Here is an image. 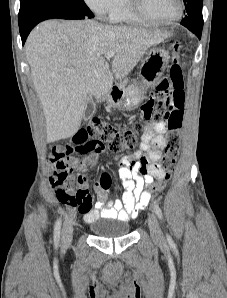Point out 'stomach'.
<instances>
[{
  "label": "stomach",
  "mask_w": 227,
  "mask_h": 298,
  "mask_svg": "<svg viewBox=\"0 0 227 298\" xmlns=\"http://www.w3.org/2000/svg\"><path fill=\"white\" fill-rule=\"evenodd\" d=\"M168 64V52L161 47H151L140 67V81L131 83L125 89L110 92L106 98L108 105L122 111L136 109L146 98L147 89L162 77Z\"/></svg>",
  "instance_id": "1"
}]
</instances>
